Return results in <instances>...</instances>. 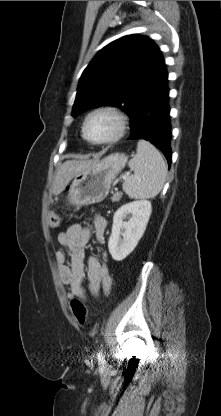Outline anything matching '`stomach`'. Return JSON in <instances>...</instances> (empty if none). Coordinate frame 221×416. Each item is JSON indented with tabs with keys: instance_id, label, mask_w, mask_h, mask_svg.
Instances as JSON below:
<instances>
[{
	"instance_id": "1",
	"label": "stomach",
	"mask_w": 221,
	"mask_h": 416,
	"mask_svg": "<svg viewBox=\"0 0 221 416\" xmlns=\"http://www.w3.org/2000/svg\"><path fill=\"white\" fill-rule=\"evenodd\" d=\"M127 159L123 153H113L75 175L68 189V203L81 207L103 201Z\"/></svg>"
}]
</instances>
